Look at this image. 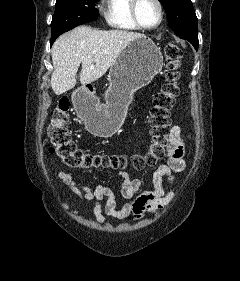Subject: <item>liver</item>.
Segmentation results:
<instances>
[{"label":"liver","instance_id":"obj_1","mask_svg":"<svg viewBox=\"0 0 240 281\" xmlns=\"http://www.w3.org/2000/svg\"><path fill=\"white\" fill-rule=\"evenodd\" d=\"M142 36L136 32L103 31L88 26H79L59 36L52 47L54 71L51 87L54 93L61 95L75 87L80 64L82 85L98 80L115 63L120 53L133 40Z\"/></svg>","mask_w":240,"mask_h":281}]
</instances>
